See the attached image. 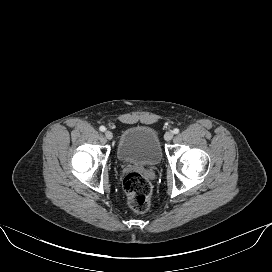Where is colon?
I'll return each instance as SVG.
<instances>
[{
	"label": "colon",
	"instance_id": "colon-1",
	"mask_svg": "<svg viewBox=\"0 0 272 272\" xmlns=\"http://www.w3.org/2000/svg\"><path fill=\"white\" fill-rule=\"evenodd\" d=\"M123 189L130 207L140 213L148 211L151 202L150 181L139 172L128 173L123 179Z\"/></svg>",
	"mask_w": 272,
	"mask_h": 272
}]
</instances>
